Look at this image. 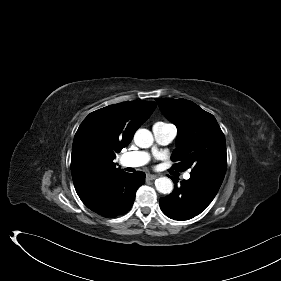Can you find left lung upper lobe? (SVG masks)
<instances>
[{"instance_id":"obj_1","label":"left lung upper lobe","mask_w":281,"mask_h":281,"mask_svg":"<svg viewBox=\"0 0 281 281\" xmlns=\"http://www.w3.org/2000/svg\"><path fill=\"white\" fill-rule=\"evenodd\" d=\"M162 112L178 129L172 168L191 174L224 179L227 168L226 142L214 116L185 99H156Z\"/></svg>"}]
</instances>
